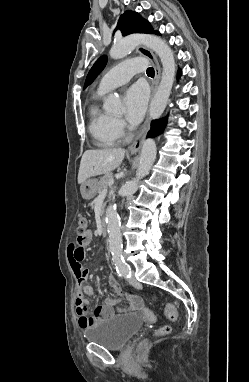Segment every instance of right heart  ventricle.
Returning a JSON list of instances; mask_svg holds the SVG:
<instances>
[{
    "mask_svg": "<svg viewBox=\"0 0 249 382\" xmlns=\"http://www.w3.org/2000/svg\"><path fill=\"white\" fill-rule=\"evenodd\" d=\"M104 94L97 91L89 106V129L99 146L110 147L116 144L119 136L113 128V116L100 107L99 100Z\"/></svg>",
    "mask_w": 249,
    "mask_h": 382,
    "instance_id": "e07e8e85",
    "label": "right heart ventricle"
}]
</instances>
